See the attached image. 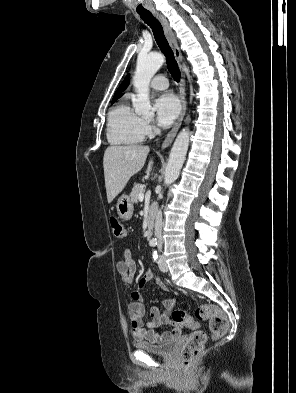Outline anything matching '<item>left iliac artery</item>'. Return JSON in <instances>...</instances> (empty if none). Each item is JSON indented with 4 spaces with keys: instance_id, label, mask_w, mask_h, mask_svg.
I'll use <instances>...</instances> for the list:
<instances>
[{
    "instance_id": "1",
    "label": "left iliac artery",
    "mask_w": 296,
    "mask_h": 393,
    "mask_svg": "<svg viewBox=\"0 0 296 393\" xmlns=\"http://www.w3.org/2000/svg\"><path fill=\"white\" fill-rule=\"evenodd\" d=\"M153 259H154V261H157V259H158L157 250H153Z\"/></svg>"
}]
</instances>
